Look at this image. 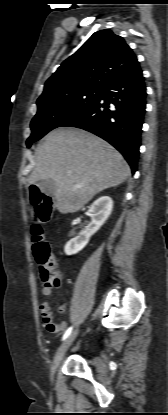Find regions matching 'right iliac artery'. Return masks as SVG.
Here are the masks:
<instances>
[{
	"label": "right iliac artery",
	"mask_w": 168,
	"mask_h": 415,
	"mask_svg": "<svg viewBox=\"0 0 168 415\" xmlns=\"http://www.w3.org/2000/svg\"><path fill=\"white\" fill-rule=\"evenodd\" d=\"M72 329H73V327L71 326L65 331L62 340H65L71 334Z\"/></svg>",
	"instance_id": "1"
}]
</instances>
